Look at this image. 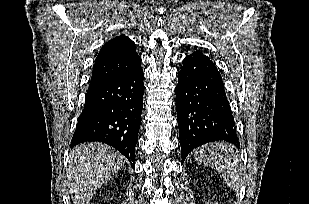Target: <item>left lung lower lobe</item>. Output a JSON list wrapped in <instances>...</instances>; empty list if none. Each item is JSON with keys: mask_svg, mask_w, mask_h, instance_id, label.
<instances>
[{"mask_svg": "<svg viewBox=\"0 0 309 204\" xmlns=\"http://www.w3.org/2000/svg\"><path fill=\"white\" fill-rule=\"evenodd\" d=\"M175 93L182 161L211 141L224 140L239 148L223 80L209 57L196 51L184 58Z\"/></svg>", "mask_w": 309, "mask_h": 204, "instance_id": "0a47b994", "label": "left lung lower lobe"}]
</instances>
